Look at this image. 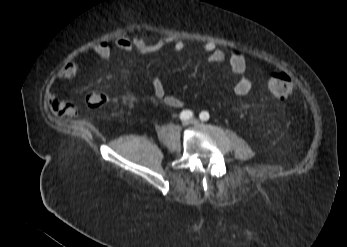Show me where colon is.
I'll return each instance as SVG.
<instances>
[{
    "instance_id": "obj_1",
    "label": "colon",
    "mask_w": 347,
    "mask_h": 247,
    "mask_svg": "<svg viewBox=\"0 0 347 247\" xmlns=\"http://www.w3.org/2000/svg\"><path fill=\"white\" fill-rule=\"evenodd\" d=\"M268 88L274 97L284 99L291 94L293 85L288 74L276 71L268 79ZM106 101V96L97 91L90 93L87 97V103L91 108H100Z\"/></svg>"
}]
</instances>
